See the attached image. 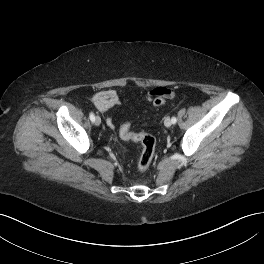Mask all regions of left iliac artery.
Listing matches in <instances>:
<instances>
[{
    "label": "left iliac artery",
    "instance_id": "left-iliac-artery-1",
    "mask_svg": "<svg viewBox=\"0 0 264 264\" xmlns=\"http://www.w3.org/2000/svg\"><path fill=\"white\" fill-rule=\"evenodd\" d=\"M171 121H172L173 124H175L177 122L176 117H172Z\"/></svg>",
    "mask_w": 264,
    "mask_h": 264
}]
</instances>
